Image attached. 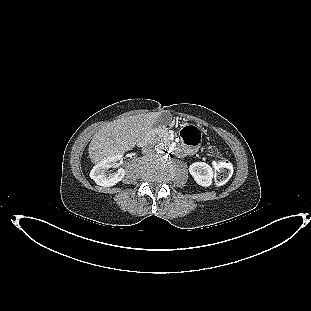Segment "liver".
Masks as SVG:
<instances>
[{
	"instance_id": "6515ba94",
	"label": "liver",
	"mask_w": 311,
	"mask_h": 311,
	"mask_svg": "<svg viewBox=\"0 0 311 311\" xmlns=\"http://www.w3.org/2000/svg\"><path fill=\"white\" fill-rule=\"evenodd\" d=\"M160 113L150 112L108 123L94 134L88 149L91 162L101 161L132 149L157 122Z\"/></svg>"
}]
</instances>
